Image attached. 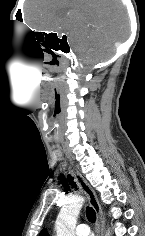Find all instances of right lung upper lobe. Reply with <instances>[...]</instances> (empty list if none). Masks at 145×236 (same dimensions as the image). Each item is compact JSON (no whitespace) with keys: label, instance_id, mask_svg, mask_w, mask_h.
I'll return each instance as SVG.
<instances>
[{"label":"right lung upper lobe","instance_id":"1","mask_svg":"<svg viewBox=\"0 0 145 236\" xmlns=\"http://www.w3.org/2000/svg\"><path fill=\"white\" fill-rule=\"evenodd\" d=\"M39 236H49L47 231L42 230Z\"/></svg>","mask_w":145,"mask_h":236}]
</instances>
